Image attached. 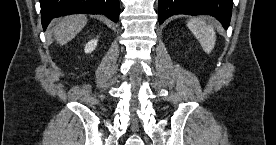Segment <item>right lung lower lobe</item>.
<instances>
[{
  "label": "right lung lower lobe",
  "mask_w": 276,
  "mask_h": 145,
  "mask_svg": "<svg viewBox=\"0 0 276 145\" xmlns=\"http://www.w3.org/2000/svg\"><path fill=\"white\" fill-rule=\"evenodd\" d=\"M40 5L44 30L53 18L63 15L104 14L117 22L120 14L119 0H40Z\"/></svg>",
  "instance_id": "right-lung-lower-lobe-1"
}]
</instances>
